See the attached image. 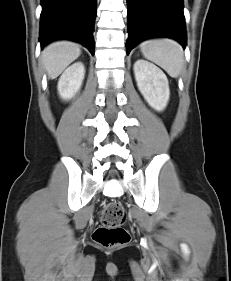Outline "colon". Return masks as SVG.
Segmentation results:
<instances>
[{
  "mask_svg": "<svg viewBox=\"0 0 231 281\" xmlns=\"http://www.w3.org/2000/svg\"><path fill=\"white\" fill-rule=\"evenodd\" d=\"M126 213L118 202H110L104 206L100 215L101 225L94 231L93 240L105 247L116 248L129 241V234L122 225Z\"/></svg>",
  "mask_w": 231,
  "mask_h": 281,
  "instance_id": "1",
  "label": "colon"
}]
</instances>
